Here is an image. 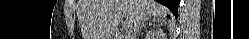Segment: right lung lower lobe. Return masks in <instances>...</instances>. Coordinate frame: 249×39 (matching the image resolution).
Here are the masks:
<instances>
[{"instance_id":"98d812e1","label":"right lung lower lobe","mask_w":249,"mask_h":39,"mask_svg":"<svg viewBox=\"0 0 249 39\" xmlns=\"http://www.w3.org/2000/svg\"><path fill=\"white\" fill-rule=\"evenodd\" d=\"M164 6L168 7L175 16L178 13L179 0H157Z\"/></svg>"}]
</instances>
